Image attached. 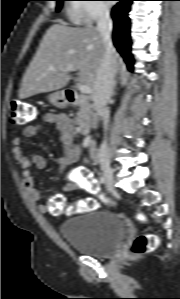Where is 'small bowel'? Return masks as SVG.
<instances>
[{
    "mask_svg": "<svg viewBox=\"0 0 180 299\" xmlns=\"http://www.w3.org/2000/svg\"><path fill=\"white\" fill-rule=\"evenodd\" d=\"M49 124L55 125L60 131V141L64 148L63 155L58 159V175L69 166L75 164L79 160L82 152L81 146L74 141V122L63 113H47L42 123L26 126L21 135L13 138V155L22 169L23 186L29 199L34 203L40 200L42 192L35 187L31 167L34 165L39 169H43L47 166V162L40 155L28 157L21 145L24 139L34 137ZM83 173H87L86 168L83 166L77 167L74 173L67 178L63 191L71 192L81 187L80 177ZM38 210L42 213L48 212V208L45 205H38Z\"/></svg>",
    "mask_w": 180,
    "mask_h": 299,
    "instance_id": "obj_1",
    "label": "small bowel"
}]
</instances>
